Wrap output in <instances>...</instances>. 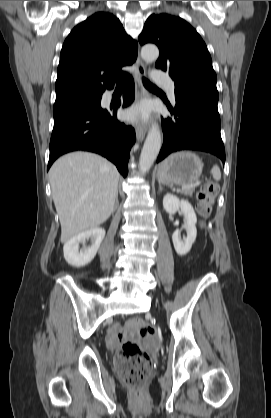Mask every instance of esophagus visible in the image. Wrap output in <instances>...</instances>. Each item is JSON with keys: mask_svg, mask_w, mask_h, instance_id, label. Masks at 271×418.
<instances>
[{"mask_svg": "<svg viewBox=\"0 0 271 418\" xmlns=\"http://www.w3.org/2000/svg\"><path fill=\"white\" fill-rule=\"evenodd\" d=\"M146 70L145 66L138 56L136 60V71H135V83H136V98L140 99L145 95V90L142 86V78L145 76ZM136 138L138 141H143L146 135V127L143 124H137L135 127Z\"/></svg>", "mask_w": 271, "mask_h": 418, "instance_id": "34e87169", "label": "esophagus"}]
</instances>
